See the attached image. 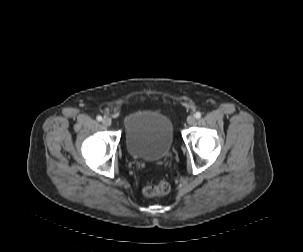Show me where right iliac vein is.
Segmentation results:
<instances>
[{
	"instance_id": "1",
	"label": "right iliac vein",
	"mask_w": 303,
	"mask_h": 252,
	"mask_svg": "<svg viewBox=\"0 0 303 252\" xmlns=\"http://www.w3.org/2000/svg\"><path fill=\"white\" fill-rule=\"evenodd\" d=\"M102 124L106 127L110 126L112 124V120L109 117H105L102 119Z\"/></svg>"
}]
</instances>
